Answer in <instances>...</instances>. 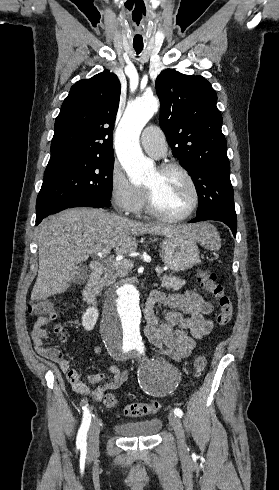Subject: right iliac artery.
Masks as SVG:
<instances>
[{
	"label": "right iliac artery",
	"mask_w": 279,
	"mask_h": 490,
	"mask_svg": "<svg viewBox=\"0 0 279 490\" xmlns=\"http://www.w3.org/2000/svg\"><path fill=\"white\" fill-rule=\"evenodd\" d=\"M82 409L84 410L83 421L78 431L76 445L81 450L86 451V446H87L86 438H87V431L89 429L90 422H91V414L87 408V405H85Z\"/></svg>",
	"instance_id": "right-iliac-artery-1"
}]
</instances>
